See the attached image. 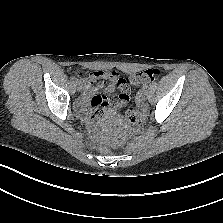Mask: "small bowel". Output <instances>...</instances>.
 <instances>
[{"mask_svg":"<svg viewBox=\"0 0 223 223\" xmlns=\"http://www.w3.org/2000/svg\"><path fill=\"white\" fill-rule=\"evenodd\" d=\"M101 74H103V72H96V73H95V75H101ZM112 90H113V86L110 85V86L107 87V91H108V92H111ZM119 105H122V104H120L119 102H115L114 105L111 104V103H108L107 106L105 107V111L111 113V112H113L114 110H116V108H117ZM101 111H102V110H101ZM96 113H97V112H96Z\"/></svg>","mask_w":223,"mask_h":223,"instance_id":"1","label":"small bowel"}]
</instances>
